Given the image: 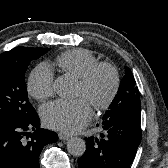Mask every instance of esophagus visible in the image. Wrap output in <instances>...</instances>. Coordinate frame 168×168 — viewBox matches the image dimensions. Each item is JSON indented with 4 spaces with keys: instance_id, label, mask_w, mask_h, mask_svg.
I'll list each match as a JSON object with an SVG mask.
<instances>
[{
    "instance_id": "1",
    "label": "esophagus",
    "mask_w": 168,
    "mask_h": 168,
    "mask_svg": "<svg viewBox=\"0 0 168 168\" xmlns=\"http://www.w3.org/2000/svg\"><path fill=\"white\" fill-rule=\"evenodd\" d=\"M58 137H59L60 140L66 141V140H68L71 136H70L69 134L59 133V134H58Z\"/></svg>"
}]
</instances>
